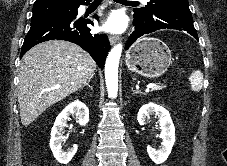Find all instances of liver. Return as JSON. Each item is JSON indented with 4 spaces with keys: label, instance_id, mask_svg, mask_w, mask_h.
<instances>
[{
    "label": "liver",
    "instance_id": "1",
    "mask_svg": "<svg viewBox=\"0 0 227 166\" xmlns=\"http://www.w3.org/2000/svg\"><path fill=\"white\" fill-rule=\"evenodd\" d=\"M96 63L78 45L50 40L31 48L22 59L18 103L23 126L94 76Z\"/></svg>",
    "mask_w": 227,
    "mask_h": 166
}]
</instances>
